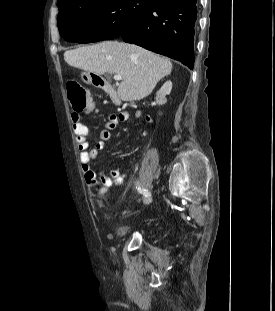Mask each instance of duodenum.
<instances>
[{
    "mask_svg": "<svg viewBox=\"0 0 275 311\" xmlns=\"http://www.w3.org/2000/svg\"><path fill=\"white\" fill-rule=\"evenodd\" d=\"M89 75V79L92 84H95L98 88L107 93L114 101L120 100L116 90L109 82L103 79L101 74H94V70H89Z\"/></svg>",
    "mask_w": 275,
    "mask_h": 311,
    "instance_id": "duodenum-1",
    "label": "duodenum"
}]
</instances>
